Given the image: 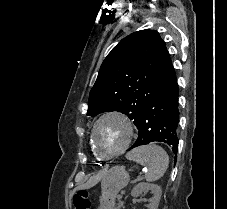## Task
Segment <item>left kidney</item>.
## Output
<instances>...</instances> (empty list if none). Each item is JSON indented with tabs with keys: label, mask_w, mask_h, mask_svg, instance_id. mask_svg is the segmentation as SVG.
Instances as JSON below:
<instances>
[{
	"label": "left kidney",
	"mask_w": 227,
	"mask_h": 209,
	"mask_svg": "<svg viewBox=\"0 0 227 209\" xmlns=\"http://www.w3.org/2000/svg\"><path fill=\"white\" fill-rule=\"evenodd\" d=\"M151 191L153 197L149 199L150 203L148 205V209H158L160 197L162 195V191L158 185H151V183H138L135 185L131 197H140L142 193H148Z\"/></svg>",
	"instance_id": "1"
}]
</instances>
